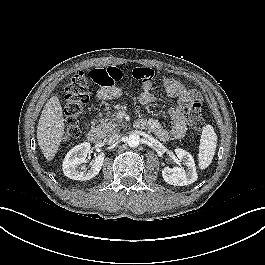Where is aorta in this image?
Returning a JSON list of instances; mask_svg holds the SVG:
<instances>
[{
	"label": "aorta",
	"mask_w": 265,
	"mask_h": 265,
	"mask_svg": "<svg viewBox=\"0 0 265 265\" xmlns=\"http://www.w3.org/2000/svg\"><path fill=\"white\" fill-rule=\"evenodd\" d=\"M127 143L130 147H137L140 144V137L137 134L129 135Z\"/></svg>",
	"instance_id": "aorta-1"
}]
</instances>
